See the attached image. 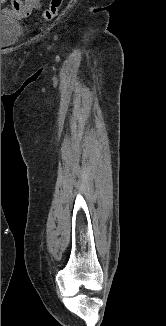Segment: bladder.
<instances>
[{"label":"bladder","instance_id":"obj_1","mask_svg":"<svg viewBox=\"0 0 166 326\" xmlns=\"http://www.w3.org/2000/svg\"><path fill=\"white\" fill-rule=\"evenodd\" d=\"M21 32L20 23L1 13V49L9 48L18 41Z\"/></svg>","mask_w":166,"mask_h":326}]
</instances>
